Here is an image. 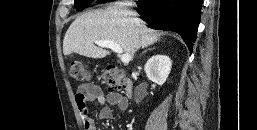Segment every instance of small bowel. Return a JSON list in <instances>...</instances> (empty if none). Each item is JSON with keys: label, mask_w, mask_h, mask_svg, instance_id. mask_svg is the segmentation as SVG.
<instances>
[{"label": "small bowel", "mask_w": 257, "mask_h": 130, "mask_svg": "<svg viewBox=\"0 0 257 130\" xmlns=\"http://www.w3.org/2000/svg\"><path fill=\"white\" fill-rule=\"evenodd\" d=\"M75 101L85 130H97L95 120L89 113L88 102L97 101L100 104H109L110 106H116L121 111H125L128 107L127 100L121 94L116 92L105 94L100 86L92 83L79 86ZM109 105L100 109L98 113L100 120H108L113 117V110Z\"/></svg>", "instance_id": "1"}]
</instances>
